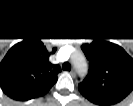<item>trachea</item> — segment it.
<instances>
[{
	"label": "trachea",
	"mask_w": 133,
	"mask_h": 106,
	"mask_svg": "<svg viewBox=\"0 0 133 106\" xmlns=\"http://www.w3.org/2000/svg\"><path fill=\"white\" fill-rule=\"evenodd\" d=\"M62 68H63L64 70H67V71L71 70V66H70L69 63H64V64L62 65Z\"/></svg>",
	"instance_id": "trachea-1"
}]
</instances>
